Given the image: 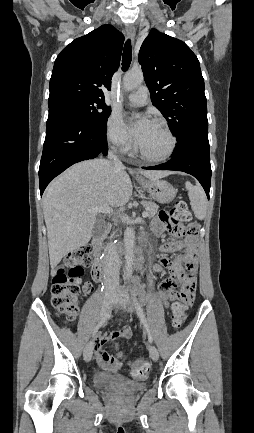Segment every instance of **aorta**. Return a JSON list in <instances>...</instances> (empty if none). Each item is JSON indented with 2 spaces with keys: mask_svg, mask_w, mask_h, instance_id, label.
Returning <instances> with one entry per match:
<instances>
[{
  "mask_svg": "<svg viewBox=\"0 0 254 433\" xmlns=\"http://www.w3.org/2000/svg\"><path fill=\"white\" fill-rule=\"evenodd\" d=\"M143 72L141 70H130L123 78V85L127 91L136 89L143 82ZM134 230L127 227L124 232V247H125V272L124 278L130 279L133 274L134 262Z\"/></svg>",
  "mask_w": 254,
  "mask_h": 433,
  "instance_id": "obj_1",
  "label": "aorta"
}]
</instances>
